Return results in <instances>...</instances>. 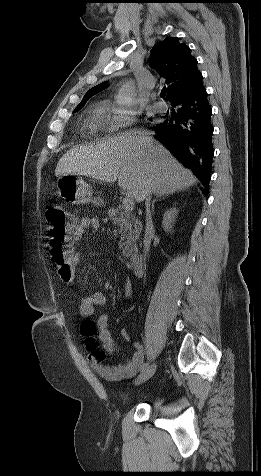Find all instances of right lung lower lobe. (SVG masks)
<instances>
[{
    "mask_svg": "<svg viewBox=\"0 0 261 476\" xmlns=\"http://www.w3.org/2000/svg\"><path fill=\"white\" fill-rule=\"evenodd\" d=\"M172 117L156 125V137L186 168L191 169L206 191L214 156L212 109L202 78L190 93L171 101Z\"/></svg>",
    "mask_w": 261,
    "mask_h": 476,
    "instance_id": "1",
    "label": "right lung lower lobe"
}]
</instances>
